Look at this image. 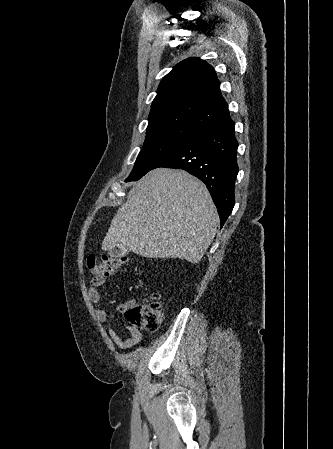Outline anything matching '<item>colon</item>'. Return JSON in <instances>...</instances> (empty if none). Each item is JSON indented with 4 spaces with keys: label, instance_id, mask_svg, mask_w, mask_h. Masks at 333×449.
I'll return each mask as SVG.
<instances>
[{
    "label": "colon",
    "instance_id": "obj_1",
    "mask_svg": "<svg viewBox=\"0 0 333 449\" xmlns=\"http://www.w3.org/2000/svg\"><path fill=\"white\" fill-rule=\"evenodd\" d=\"M126 256L91 254L87 258L88 269L94 274L110 275L115 273L125 262ZM162 304L157 296L149 302L132 301L124 311L127 322L138 330L155 331L162 320Z\"/></svg>",
    "mask_w": 333,
    "mask_h": 449
}]
</instances>
